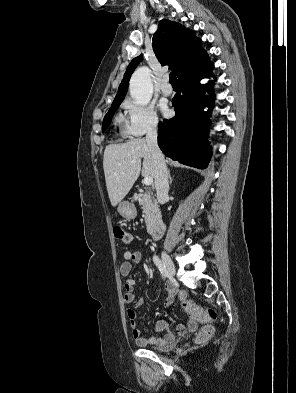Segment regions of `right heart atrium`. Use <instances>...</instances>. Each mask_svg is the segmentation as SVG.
<instances>
[{
    "label": "right heart atrium",
    "mask_w": 296,
    "mask_h": 393,
    "mask_svg": "<svg viewBox=\"0 0 296 393\" xmlns=\"http://www.w3.org/2000/svg\"><path fill=\"white\" fill-rule=\"evenodd\" d=\"M127 113V132L132 137H140L146 133L154 132L159 125L155 108L149 104H140L132 99L124 102Z\"/></svg>",
    "instance_id": "obj_1"
}]
</instances>
